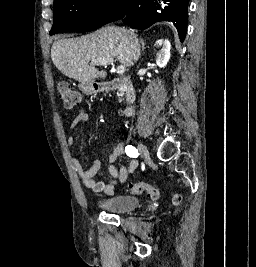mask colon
Returning a JSON list of instances; mask_svg holds the SVG:
<instances>
[{"instance_id": "5ec220e1", "label": "colon", "mask_w": 256, "mask_h": 267, "mask_svg": "<svg viewBox=\"0 0 256 267\" xmlns=\"http://www.w3.org/2000/svg\"><path fill=\"white\" fill-rule=\"evenodd\" d=\"M58 95L60 100L63 102L64 106L67 108H74L83 102L82 93H80L75 86L70 83H59L58 84ZM130 192L133 194L147 193L151 200L154 199L158 192L157 190L148 183L145 182H135L130 185ZM183 195L177 193L174 196V204L178 205L181 203Z\"/></svg>"}]
</instances>
